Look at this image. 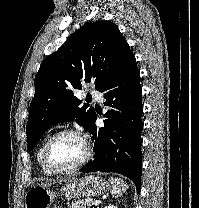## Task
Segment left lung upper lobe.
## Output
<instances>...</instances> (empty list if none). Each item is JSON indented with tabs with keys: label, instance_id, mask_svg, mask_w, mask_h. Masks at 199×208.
Segmentation results:
<instances>
[{
	"label": "left lung upper lobe",
	"instance_id": "obj_1",
	"mask_svg": "<svg viewBox=\"0 0 199 208\" xmlns=\"http://www.w3.org/2000/svg\"><path fill=\"white\" fill-rule=\"evenodd\" d=\"M133 55L111 22H88L41 64L35 76V95L26 127L28 151L54 124L76 120L90 130L95 110L80 106L75 93L84 83L99 90Z\"/></svg>",
	"mask_w": 199,
	"mask_h": 208
}]
</instances>
